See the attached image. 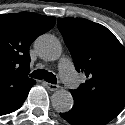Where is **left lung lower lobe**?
<instances>
[{"instance_id":"obj_1","label":"left lung lower lobe","mask_w":125,"mask_h":125,"mask_svg":"<svg viewBox=\"0 0 125 125\" xmlns=\"http://www.w3.org/2000/svg\"><path fill=\"white\" fill-rule=\"evenodd\" d=\"M74 106L61 117L72 125H106L124 108L125 104L113 100L83 101L72 95Z\"/></svg>"}]
</instances>
